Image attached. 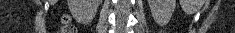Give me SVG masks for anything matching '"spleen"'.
<instances>
[{
	"label": "spleen",
	"mask_w": 235,
	"mask_h": 33,
	"mask_svg": "<svg viewBox=\"0 0 235 33\" xmlns=\"http://www.w3.org/2000/svg\"><path fill=\"white\" fill-rule=\"evenodd\" d=\"M183 5H184V4H183ZM184 7H186V5H184ZM186 9H187L189 12H191V11L194 10V8H190V7H186Z\"/></svg>",
	"instance_id": "1"
}]
</instances>
